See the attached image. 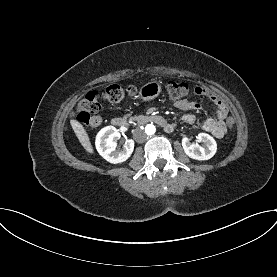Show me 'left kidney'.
I'll return each mask as SVG.
<instances>
[{
	"label": "left kidney",
	"instance_id": "obj_1",
	"mask_svg": "<svg viewBox=\"0 0 277 277\" xmlns=\"http://www.w3.org/2000/svg\"><path fill=\"white\" fill-rule=\"evenodd\" d=\"M197 138L204 143L203 147L192 144L187 137L182 139V147L185 154L192 159L200 161L212 158L217 151V144L214 138L206 133H199Z\"/></svg>",
	"mask_w": 277,
	"mask_h": 277
}]
</instances>
